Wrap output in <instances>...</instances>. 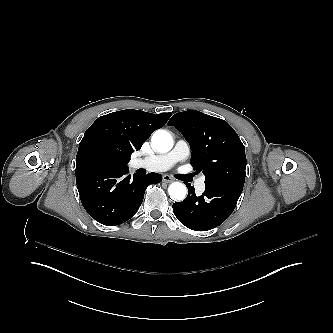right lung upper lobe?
<instances>
[{
	"label": "right lung upper lobe",
	"mask_w": 333,
	"mask_h": 333,
	"mask_svg": "<svg viewBox=\"0 0 333 333\" xmlns=\"http://www.w3.org/2000/svg\"><path fill=\"white\" fill-rule=\"evenodd\" d=\"M171 113L152 114L127 109L99 117L85 132L76 156V169L88 166L95 153H101L118 165L127 167L130 156L157 129L163 127Z\"/></svg>",
	"instance_id": "right-lung-upper-lobe-1"
}]
</instances>
